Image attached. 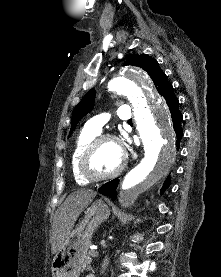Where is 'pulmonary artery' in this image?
I'll return each instance as SVG.
<instances>
[{"instance_id":"e3ab8cb5","label":"pulmonary artery","mask_w":221,"mask_h":277,"mask_svg":"<svg viewBox=\"0 0 221 277\" xmlns=\"http://www.w3.org/2000/svg\"><path fill=\"white\" fill-rule=\"evenodd\" d=\"M116 115L121 120L129 121L132 118L131 108L128 105H121L120 107L117 108ZM109 119H110V114L108 113L99 114L91 118L86 123V128L93 132L100 133L102 130V127L108 122Z\"/></svg>"}]
</instances>
